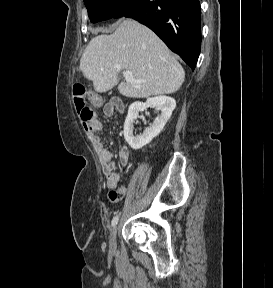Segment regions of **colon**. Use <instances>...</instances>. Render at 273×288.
I'll use <instances>...</instances> for the list:
<instances>
[{
  "label": "colon",
  "instance_id": "obj_1",
  "mask_svg": "<svg viewBox=\"0 0 273 288\" xmlns=\"http://www.w3.org/2000/svg\"><path fill=\"white\" fill-rule=\"evenodd\" d=\"M73 100L83 125L88 128L94 120L93 110L86 104V91L81 85H75L73 87ZM95 105H100V100L97 97L93 98Z\"/></svg>",
  "mask_w": 273,
  "mask_h": 288
}]
</instances>
